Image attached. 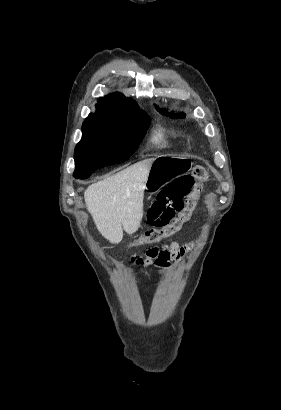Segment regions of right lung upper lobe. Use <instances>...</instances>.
<instances>
[{
    "mask_svg": "<svg viewBox=\"0 0 281 410\" xmlns=\"http://www.w3.org/2000/svg\"><path fill=\"white\" fill-rule=\"evenodd\" d=\"M95 114L90 117L110 121H132L148 116L145 111L139 110L136 102L121 93H112L100 98L95 105Z\"/></svg>",
    "mask_w": 281,
    "mask_h": 410,
    "instance_id": "right-lung-upper-lobe-1",
    "label": "right lung upper lobe"
}]
</instances>
